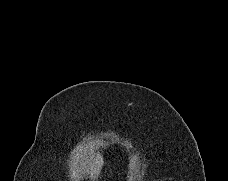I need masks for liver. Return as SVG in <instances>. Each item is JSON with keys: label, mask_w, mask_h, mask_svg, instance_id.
Wrapping results in <instances>:
<instances>
[{"label": "liver", "mask_w": 228, "mask_h": 181, "mask_svg": "<svg viewBox=\"0 0 228 181\" xmlns=\"http://www.w3.org/2000/svg\"><path fill=\"white\" fill-rule=\"evenodd\" d=\"M102 165V157H100V155H97V153H94V155H92V159H90L87 165V167H89L88 179H91V181H96L97 177L100 175Z\"/></svg>", "instance_id": "1"}]
</instances>
